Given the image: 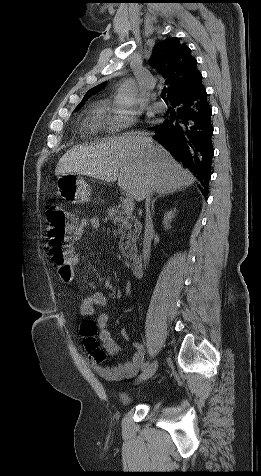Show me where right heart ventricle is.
Segmentation results:
<instances>
[{
	"mask_svg": "<svg viewBox=\"0 0 261 476\" xmlns=\"http://www.w3.org/2000/svg\"><path fill=\"white\" fill-rule=\"evenodd\" d=\"M95 117L91 122L90 129L93 133L100 131L103 127L104 109L102 107H95Z\"/></svg>",
	"mask_w": 261,
	"mask_h": 476,
	"instance_id": "obj_1",
	"label": "right heart ventricle"
}]
</instances>
